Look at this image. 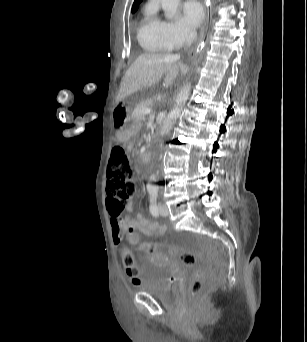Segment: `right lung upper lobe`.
<instances>
[{
	"label": "right lung upper lobe",
	"instance_id": "cb5924a9",
	"mask_svg": "<svg viewBox=\"0 0 307 342\" xmlns=\"http://www.w3.org/2000/svg\"><path fill=\"white\" fill-rule=\"evenodd\" d=\"M142 0H135L133 6H132V12H135L138 8V5L139 3L141 2Z\"/></svg>",
	"mask_w": 307,
	"mask_h": 342
}]
</instances>
